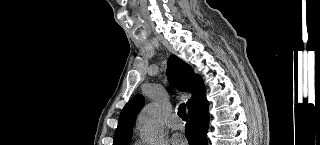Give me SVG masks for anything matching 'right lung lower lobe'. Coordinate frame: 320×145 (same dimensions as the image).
<instances>
[{
  "instance_id": "1",
  "label": "right lung lower lobe",
  "mask_w": 320,
  "mask_h": 145,
  "mask_svg": "<svg viewBox=\"0 0 320 145\" xmlns=\"http://www.w3.org/2000/svg\"><path fill=\"white\" fill-rule=\"evenodd\" d=\"M185 134L190 145H207L209 124L208 102L205 94L188 111Z\"/></svg>"
}]
</instances>
